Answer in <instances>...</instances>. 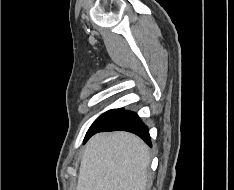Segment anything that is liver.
<instances>
[{
    "label": "liver",
    "mask_w": 234,
    "mask_h": 190,
    "mask_svg": "<svg viewBox=\"0 0 234 190\" xmlns=\"http://www.w3.org/2000/svg\"><path fill=\"white\" fill-rule=\"evenodd\" d=\"M149 148L128 132L99 133L87 143L76 190H145Z\"/></svg>",
    "instance_id": "1"
}]
</instances>
